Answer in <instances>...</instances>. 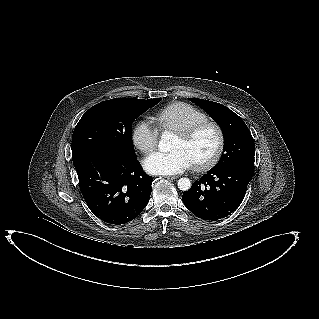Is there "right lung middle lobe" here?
Wrapping results in <instances>:
<instances>
[{"mask_svg": "<svg viewBox=\"0 0 319 319\" xmlns=\"http://www.w3.org/2000/svg\"><path fill=\"white\" fill-rule=\"evenodd\" d=\"M160 101L114 98L94 105L74 129L72 159L99 149L113 150L124 158L136 156L132 143V123Z\"/></svg>", "mask_w": 319, "mask_h": 319, "instance_id": "dd1d6c3e", "label": "right lung middle lobe"}]
</instances>
